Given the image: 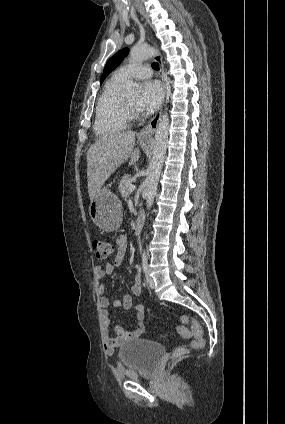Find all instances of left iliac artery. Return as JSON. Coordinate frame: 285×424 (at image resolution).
Masks as SVG:
<instances>
[{"label":"left iliac artery","instance_id":"left-iliac-artery-1","mask_svg":"<svg viewBox=\"0 0 285 424\" xmlns=\"http://www.w3.org/2000/svg\"><path fill=\"white\" fill-rule=\"evenodd\" d=\"M142 268L144 273H147L148 261H147V253L145 251H143V256H142Z\"/></svg>","mask_w":285,"mask_h":424}]
</instances>
